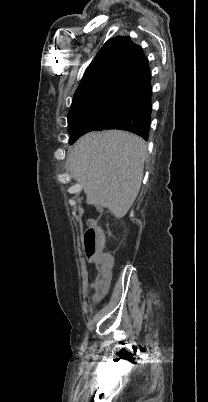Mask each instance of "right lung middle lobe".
Instances as JSON below:
<instances>
[{
	"mask_svg": "<svg viewBox=\"0 0 208 402\" xmlns=\"http://www.w3.org/2000/svg\"><path fill=\"white\" fill-rule=\"evenodd\" d=\"M121 94L109 83L101 84L94 89L74 97L68 115V122L83 121L92 116H106L120 111ZM71 133L69 144H73L82 134Z\"/></svg>",
	"mask_w": 208,
	"mask_h": 402,
	"instance_id": "1",
	"label": "right lung middle lobe"
}]
</instances>
